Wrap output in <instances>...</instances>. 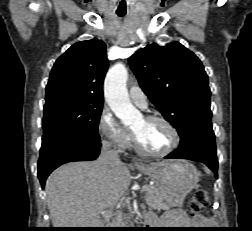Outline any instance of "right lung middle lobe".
Instances as JSON below:
<instances>
[{
  "instance_id": "right-lung-middle-lobe-1",
  "label": "right lung middle lobe",
  "mask_w": 252,
  "mask_h": 231,
  "mask_svg": "<svg viewBox=\"0 0 252 231\" xmlns=\"http://www.w3.org/2000/svg\"><path fill=\"white\" fill-rule=\"evenodd\" d=\"M102 102L60 95L46 99L42 144L58 137L72 136L100 141L98 123Z\"/></svg>"
}]
</instances>
